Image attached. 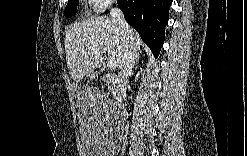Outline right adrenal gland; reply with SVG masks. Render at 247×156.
<instances>
[{"instance_id": "1", "label": "right adrenal gland", "mask_w": 247, "mask_h": 156, "mask_svg": "<svg viewBox=\"0 0 247 156\" xmlns=\"http://www.w3.org/2000/svg\"><path fill=\"white\" fill-rule=\"evenodd\" d=\"M139 62V54L137 55L136 59H135V62L133 64V68L135 67V65Z\"/></svg>"}]
</instances>
